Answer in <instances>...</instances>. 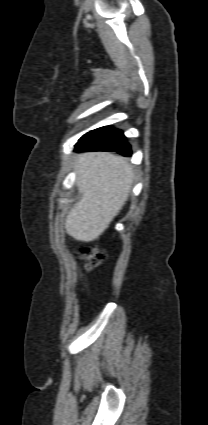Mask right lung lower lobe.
Returning <instances> with one entry per match:
<instances>
[{
    "mask_svg": "<svg viewBox=\"0 0 208 425\" xmlns=\"http://www.w3.org/2000/svg\"><path fill=\"white\" fill-rule=\"evenodd\" d=\"M75 147L76 152L107 151L131 156L130 145L126 142L123 133L109 126L86 133L79 139Z\"/></svg>",
    "mask_w": 208,
    "mask_h": 425,
    "instance_id": "1",
    "label": "right lung lower lobe"
}]
</instances>
